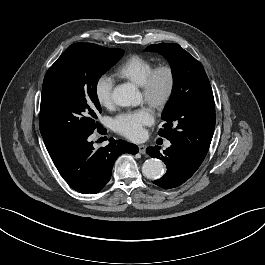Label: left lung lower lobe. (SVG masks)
<instances>
[{
	"label": "left lung lower lobe",
	"mask_w": 265,
	"mask_h": 265,
	"mask_svg": "<svg viewBox=\"0 0 265 265\" xmlns=\"http://www.w3.org/2000/svg\"><path fill=\"white\" fill-rule=\"evenodd\" d=\"M159 150L158 146L148 147L146 152L151 157L164 161L167 166L166 174L160 179L153 181L154 184L163 189L180 186L197 171L202 163L175 144H172L163 153Z\"/></svg>",
	"instance_id": "left-lung-lower-lobe-1"
}]
</instances>
